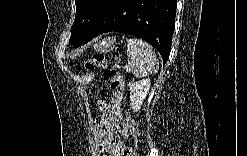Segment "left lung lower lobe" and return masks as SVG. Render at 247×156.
I'll return each instance as SVG.
<instances>
[{
    "mask_svg": "<svg viewBox=\"0 0 247 156\" xmlns=\"http://www.w3.org/2000/svg\"><path fill=\"white\" fill-rule=\"evenodd\" d=\"M176 0H110L85 43L109 31L138 36L168 60L175 27Z\"/></svg>",
    "mask_w": 247,
    "mask_h": 156,
    "instance_id": "left-lung-lower-lobe-1",
    "label": "left lung lower lobe"
}]
</instances>
